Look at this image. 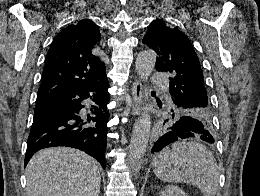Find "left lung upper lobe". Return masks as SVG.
<instances>
[{"mask_svg":"<svg viewBox=\"0 0 260 196\" xmlns=\"http://www.w3.org/2000/svg\"><path fill=\"white\" fill-rule=\"evenodd\" d=\"M143 43L158 55L156 70L171 75L169 92L172 105L163 109L153 132V141L168 132L176 121L184 118L203 122L212 133L211 104L201 65L191 41L178 28L170 27L165 21L157 19L149 25Z\"/></svg>","mask_w":260,"mask_h":196,"instance_id":"5c2ea615","label":"left lung upper lobe"}]
</instances>
